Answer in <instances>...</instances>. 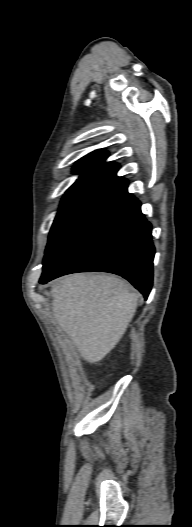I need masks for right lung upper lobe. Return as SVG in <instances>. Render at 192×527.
<instances>
[{"mask_svg": "<svg viewBox=\"0 0 192 527\" xmlns=\"http://www.w3.org/2000/svg\"><path fill=\"white\" fill-rule=\"evenodd\" d=\"M107 157V152L96 150L81 158L73 168L75 173H80L74 184L89 181L107 183L114 179L119 165L113 162H105Z\"/></svg>", "mask_w": 192, "mask_h": 527, "instance_id": "cb5924a9", "label": "right lung upper lobe"}]
</instances>
